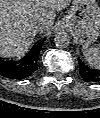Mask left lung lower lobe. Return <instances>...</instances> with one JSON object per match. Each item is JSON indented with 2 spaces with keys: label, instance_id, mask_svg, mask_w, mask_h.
<instances>
[{
  "label": "left lung lower lobe",
  "instance_id": "left-lung-lower-lobe-1",
  "mask_svg": "<svg viewBox=\"0 0 100 118\" xmlns=\"http://www.w3.org/2000/svg\"><path fill=\"white\" fill-rule=\"evenodd\" d=\"M79 72L86 82H100V69H93L79 61Z\"/></svg>",
  "mask_w": 100,
  "mask_h": 118
}]
</instances>
